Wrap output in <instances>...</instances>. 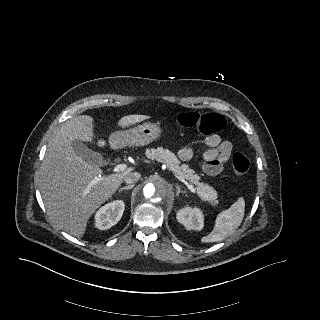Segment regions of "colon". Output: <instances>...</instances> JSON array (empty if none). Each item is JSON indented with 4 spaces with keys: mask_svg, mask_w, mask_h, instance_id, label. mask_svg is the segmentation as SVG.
<instances>
[{
    "mask_svg": "<svg viewBox=\"0 0 320 320\" xmlns=\"http://www.w3.org/2000/svg\"><path fill=\"white\" fill-rule=\"evenodd\" d=\"M179 125L186 129L197 130L203 134L222 131L226 126L224 116L218 113L185 112L177 117ZM250 167L248 158L242 153H235L232 157V168L238 177L247 174Z\"/></svg>",
    "mask_w": 320,
    "mask_h": 320,
    "instance_id": "1",
    "label": "colon"
}]
</instances>
